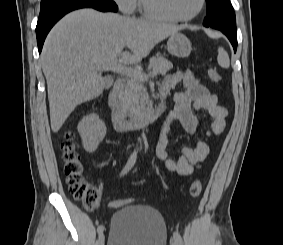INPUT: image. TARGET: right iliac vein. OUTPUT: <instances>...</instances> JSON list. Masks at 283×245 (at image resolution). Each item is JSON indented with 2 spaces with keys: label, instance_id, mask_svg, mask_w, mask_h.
Returning <instances> with one entry per match:
<instances>
[{
  "label": "right iliac vein",
  "instance_id": "obj_1",
  "mask_svg": "<svg viewBox=\"0 0 283 245\" xmlns=\"http://www.w3.org/2000/svg\"><path fill=\"white\" fill-rule=\"evenodd\" d=\"M104 243H105V236H104L103 233H100L99 234V238H98V244L99 245H104Z\"/></svg>",
  "mask_w": 283,
  "mask_h": 245
}]
</instances>
